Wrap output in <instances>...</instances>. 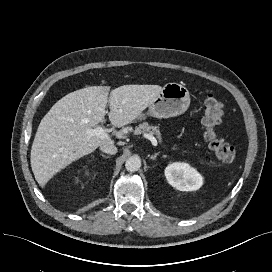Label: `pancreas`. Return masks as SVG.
Here are the masks:
<instances>
[{
  "label": "pancreas",
  "instance_id": "cf45deb5",
  "mask_svg": "<svg viewBox=\"0 0 272 272\" xmlns=\"http://www.w3.org/2000/svg\"><path fill=\"white\" fill-rule=\"evenodd\" d=\"M135 135H140V134H150V135H155L160 143H162V137L161 133L158 129V126L150 125L148 122H143L139 124L138 127L135 128L134 130Z\"/></svg>",
  "mask_w": 272,
  "mask_h": 272
}]
</instances>
